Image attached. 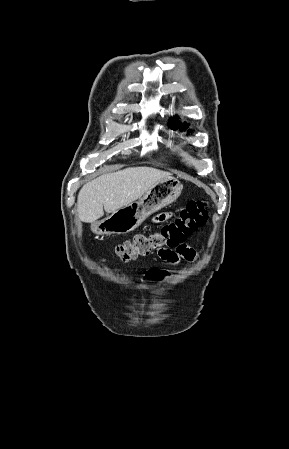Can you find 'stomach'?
<instances>
[{
  "mask_svg": "<svg viewBox=\"0 0 289 449\" xmlns=\"http://www.w3.org/2000/svg\"><path fill=\"white\" fill-rule=\"evenodd\" d=\"M182 189L178 178L168 176L156 182L138 201L92 223L91 230L101 236L131 232L151 214L176 201Z\"/></svg>",
  "mask_w": 289,
  "mask_h": 449,
  "instance_id": "obj_1",
  "label": "stomach"
}]
</instances>
